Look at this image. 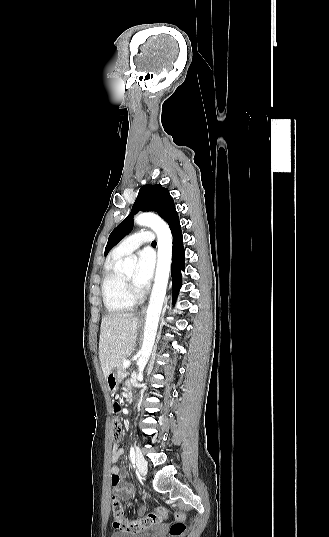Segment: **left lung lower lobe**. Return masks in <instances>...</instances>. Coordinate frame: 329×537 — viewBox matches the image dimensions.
<instances>
[{
  "instance_id": "1",
  "label": "left lung lower lobe",
  "mask_w": 329,
  "mask_h": 537,
  "mask_svg": "<svg viewBox=\"0 0 329 537\" xmlns=\"http://www.w3.org/2000/svg\"><path fill=\"white\" fill-rule=\"evenodd\" d=\"M173 236V246H172V266H171V276H172V288H173V303H175L179 290L182 286V274L181 270L185 271L184 262H185V250L183 246V238L180 224L171 230Z\"/></svg>"
}]
</instances>
